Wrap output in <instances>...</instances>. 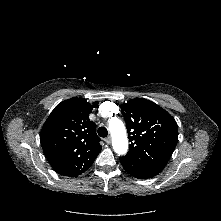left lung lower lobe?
I'll use <instances>...</instances> for the list:
<instances>
[{
	"mask_svg": "<svg viewBox=\"0 0 221 221\" xmlns=\"http://www.w3.org/2000/svg\"><path fill=\"white\" fill-rule=\"evenodd\" d=\"M121 164L123 168L133 177L138 179H146V178H152L159 174L165 166L158 165V164H151V165H135L128 161L121 160Z\"/></svg>",
	"mask_w": 221,
	"mask_h": 221,
	"instance_id": "obj_1",
	"label": "left lung lower lobe"
}]
</instances>
